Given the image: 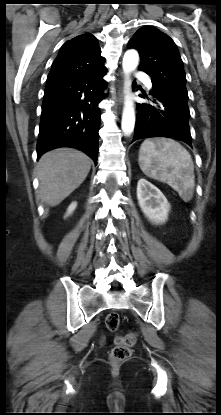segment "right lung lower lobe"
<instances>
[{
	"instance_id": "1",
	"label": "right lung lower lobe",
	"mask_w": 221,
	"mask_h": 415,
	"mask_svg": "<svg viewBox=\"0 0 221 415\" xmlns=\"http://www.w3.org/2000/svg\"><path fill=\"white\" fill-rule=\"evenodd\" d=\"M106 70L68 80L46 83L37 157L57 147H73L85 152L95 164L98 158L100 109L105 96Z\"/></svg>"
}]
</instances>
